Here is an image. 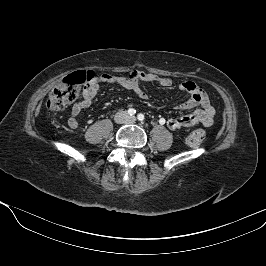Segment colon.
<instances>
[{
    "label": "colon",
    "mask_w": 266,
    "mask_h": 266,
    "mask_svg": "<svg viewBox=\"0 0 266 266\" xmlns=\"http://www.w3.org/2000/svg\"><path fill=\"white\" fill-rule=\"evenodd\" d=\"M96 78L92 71H77L66 76L48 96L47 108L50 111H61L72 102L83 96L84 89ZM205 138V132L196 129L189 133L186 144L191 148L199 147Z\"/></svg>",
    "instance_id": "obj_1"
}]
</instances>
